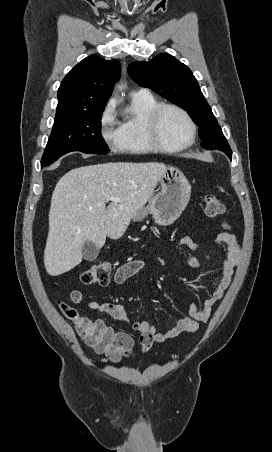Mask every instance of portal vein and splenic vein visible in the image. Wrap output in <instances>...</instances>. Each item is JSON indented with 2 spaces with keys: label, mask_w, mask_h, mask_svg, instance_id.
<instances>
[{
  "label": "portal vein and splenic vein",
  "mask_w": 272,
  "mask_h": 452,
  "mask_svg": "<svg viewBox=\"0 0 272 452\" xmlns=\"http://www.w3.org/2000/svg\"><path fill=\"white\" fill-rule=\"evenodd\" d=\"M120 201V198H118V197H113V196H110V197H107L106 198V201Z\"/></svg>",
  "instance_id": "obj_1"
}]
</instances>
